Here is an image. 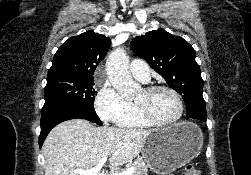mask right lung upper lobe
Returning <instances> with one entry per match:
<instances>
[{
	"label": "right lung upper lobe",
	"instance_id": "cb5924a9",
	"mask_svg": "<svg viewBox=\"0 0 251 175\" xmlns=\"http://www.w3.org/2000/svg\"><path fill=\"white\" fill-rule=\"evenodd\" d=\"M110 44V38L93 31L69 38L55 53L47 78L68 77L94 81V71Z\"/></svg>",
	"mask_w": 251,
	"mask_h": 175
}]
</instances>
